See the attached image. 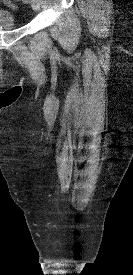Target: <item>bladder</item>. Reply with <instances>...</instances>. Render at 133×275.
Returning a JSON list of instances; mask_svg holds the SVG:
<instances>
[{"mask_svg":"<svg viewBox=\"0 0 133 275\" xmlns=\"http://www.w3.org/2000/svg\"><path fill=\"white\" fill-rule=\"evenodd\" d=\"M17 27L15 15L6 9H0V30H11Z\"/></svg>","mask_w":133,"mask_h":275,"instance_id":"bladder-1","label":"bladder"}]
</instances>
